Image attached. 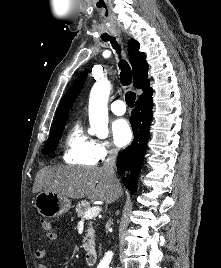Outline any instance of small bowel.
Returning <instances> with one entry per match:
<instances>
[{
  "mask_svg": "<svg viewBox=\"0 0 221 268\" xmlns=\"http://www.w3.org/2000/svg\"><path fill=\"white\" fill-rule=\"evenodd\" d=\"M57 237H58L57 234L52 230L46 233V239L49 241H55ZM35 255L38 260H42L46 255V249L43 247L38 248L36 250ZM38 268H49V267L46 263L40 262L38 264Z\"/></svg>",
  "mask_w": 221,
  "mask_h": 268,
  "instance_id": "1",
  "label": "small bowel"
}]
</instances>
